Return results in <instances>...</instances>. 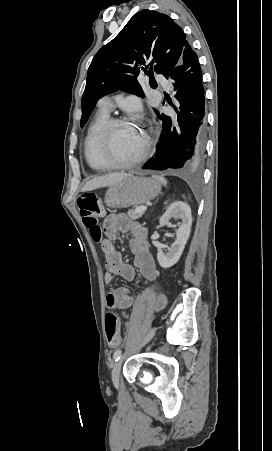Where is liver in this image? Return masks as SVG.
Here are the masks:
<instances>
[{
    "label": "liver",
    "instance_id": "obj_1",
    "mask_svg": "<svg viewBox=\"0 0 272 451\" xmlns=\"http://www.w3.org/2000/svg\"><path fill=\"white\" fill-rule=\"evenodd\" d=\"M126 176H131V174H124V172H115V174H107V176H99V178H93V180H89L86 182L85 186L82 188V192H89V190H96V188H103V186H113V184H117Z\"/></svg>",
    "mask_w": 272,
    "mask_h": 451
}]
</instances>
